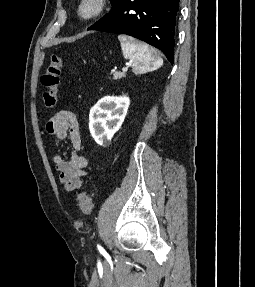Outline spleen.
<instances>
[{"mask_svg":"<svg viewBox=\"0 0 255 287\" xmlns=\"http://www.w3.org/2000/svg\"><path fill=\"white\" fill-rule=\"evenodd\" d=\"M119 42H121V48L124 58L126 60H134L135 66L140 68H148V70H157L163 66V60L160 56H155L154 50H150L147 44L143 42H137L130 36H118ZM151 54H154V58H151Z\"/></svg>","mask_w":255,"mask_h":287,"instance_id":"1","label":"spleen"}]
</instances>
